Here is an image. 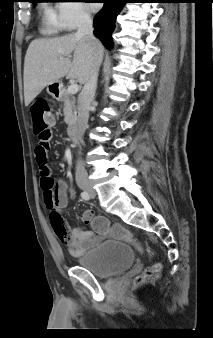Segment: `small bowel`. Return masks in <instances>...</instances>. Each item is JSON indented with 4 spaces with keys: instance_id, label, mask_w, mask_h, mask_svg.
Returning a JSON list of instances; mask_svg holds the SVG:
<instances>
[{
    "instance_id": "obj_1",
    "label": "small bowel",
    "mask_w": 213,
    "mask_h": 338,
    "mask_svg": "<svg viewBox=\"0 0 213 338\" xmlns=\"http://www.w3.org/2000/svg\"><path fill=\"white\" fill-rule=\"evenodd\" d=\"M36 159H47L50 152V139L48 138L45 141H39L36 149ZM55 197L57 201V211L61 212L68 204L67 197V183L64 180H60L57 183L55 189ZM100 220V227H95L96 233H92L88 231L85 227H78L71 230L67 223L64 221L62 225L58 228H54L59 240L66 244L69 250L73 254H80L87 250H90L94 246H96L100 241L105 239L106 237V229L108 227V223L103 216L97 217ZM80 219L85 224H88L93 219V213L90 210H84L80 214ZM116 233L118 236L122 238H130V233L123 227H119L116 229Z\"/></svg>"
}]
</instances>
